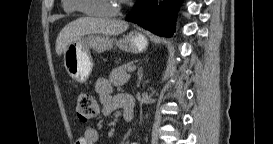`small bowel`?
<instances>
[{"instance_id":"1","label":"small bowel","mask_w":273,"mask_h":144,"mask_svg":"<svg viewBox=\"0 0 273 144\" xmlns=\"http://www.w3.org/2000/svg\"><path fill=\"white\" fill-rule=\"evenodd\" d=\"M95 90L103 104L104 115H110L122 108L118 102L119 95H113V88L108 79H98L95 84ZM97 140V130L95 128L88 127L84 130L82 136L77 138L75 144H95Z\"/></svg>"}]
</instances>
